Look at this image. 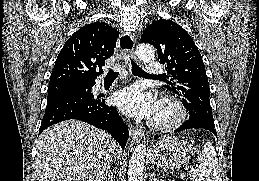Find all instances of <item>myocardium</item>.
Listing matches in <instances>:
<instances>
[{"instance_id": "f54148a6", "label": "myocardium", "mask_w": 259, "mask_h": 181, "mask_svg": "<svg viewBox=\"0 0 259 181\" xmlns=\"http://www.w3.org/2000/svg\"><path fill=\"white\" fill-rule=\"evenodd\" d=\"M159 107L168 112V116L163 119L153 118L150 125L157 130H169L179 126L187 117L184 104L173 96H164Z\"/></svg>"}]
</instances>
